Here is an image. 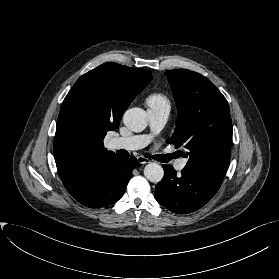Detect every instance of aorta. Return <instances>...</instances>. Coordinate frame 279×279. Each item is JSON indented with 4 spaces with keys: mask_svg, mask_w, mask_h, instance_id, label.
<instances>
[{
    "mask_svg": "<svg viewBox=\"0 0 279 279\" xmlns=\"http://www.w3.org/2000/svg\"><path fill=\"white\" fill-rule=\"evenodd\" d=\"M124 125L133 132H141L147 127V114L141 108H130L123 115ZM144 176L150 182L158 183L164 176V170L158 163H149L144 168Z\"/></svg>",
    "mask_w": 279,
    "mask_h": 279,
    "instance_id": "aorta-1",
    "label": "aorta"
}]
</instances>
